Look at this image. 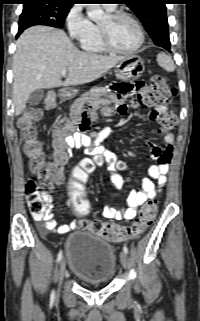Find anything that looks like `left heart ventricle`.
I'll return each mask as SVG.
<instances>
[{"label":"left heart ventricle","instance_id":"b2bd125f","mask_svg":"<svg viewBox=\"0 0 200 321\" xmlns=\"http://www.w3.org/2000/svg\"><path fill=\"white\" fill-rule=\"evenodd\" d=\"M100 24L109 28L114 45L120 49H130L139 40L138 30L135 24L128 18L122 17L111 21L106 16Z\"/></svg>","mask_w":200,"mask_h":321}]
</instances>
